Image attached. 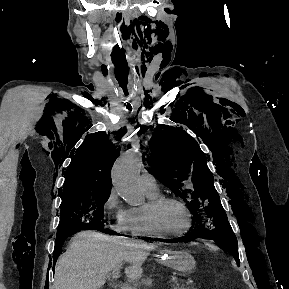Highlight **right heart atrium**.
<instances>
[{"label": "right heart atrium", "mask_w": 289, "mask_h": 289, "mask_svg": "<svg viewBox=\"0 0 289 289\" xmlns=\"http://www.w3.org/2000/svg\"><path fill=\"white\" fill-rule=\"evenodd\" d=\"M103 213L111 221V229L118 233H125L130 231V216L129 209H127L117 191L111 189L103 202Z\"/></svg>", "instance_id": "right-heart-atrium-1"}]
</instances>
